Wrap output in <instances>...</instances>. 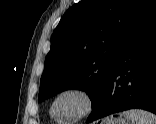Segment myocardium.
I'll return each mask as SVG.
<instances>
[{"label":"myocardium","mask_w":156,"mask_h":124,"mask_svg":"<svg viewBox=\"0 0 156 124\" xmlns=\"http://www.w3.org/2000/svg\"><path fill=\"white\" fill-rule=\"evenodd\" d=\"M67 93H77V94L82 95L85 98L86 107H85L84 111L80 115H78L76 117L68 118V119H61V118H58L54 114V106H55L57 100L61 96H63L64 94H67ZM96 105H97V97H96L95 93L92 90H90L89 88H87L85 86H82V85H73V86H68V87H65V88L61 89L53 97V99L51 100L50 106H49V112L55 118L61 119L66 123H73V122H78V121L84 120L87 117H89L94 112V110L96 108Z\"/></svg>","instance_id":"1"}]
</instances>
